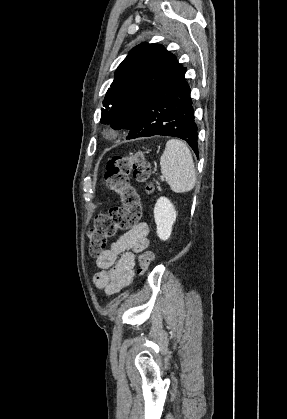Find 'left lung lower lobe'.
<instances>
[{
    "label": "left lung lower lobe",
    "instance_id": "0a47b994",
    "mask_svg": "<svg viewBox=\"0 0 287 419\" xmlns=\"http://www.w3.org/2000/svg\"><path fill=\"white\" fill-rule=\"evenodd\" d=\"M185 72L186 69L172 85L144 103L126 139L154 135L178 137L185 140L198 156V128Z\"/></svg>",
    "mask_w": 287,
    "mask_h": 419
}]
</instances>
